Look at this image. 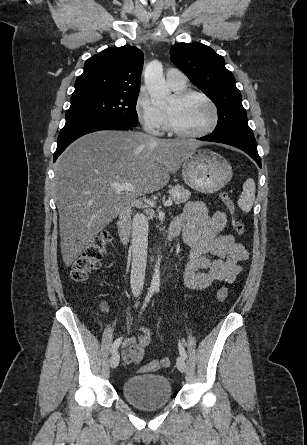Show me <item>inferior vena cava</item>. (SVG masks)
Segmentation results:
<instances>
[{
    "instance_id": "1",
    "label": "inferior vena cava",
    "mask_w": 307,
    "mask_h": 445,
    "mask_svg": "<svg viewBox=\"0 0 307 445\" xmlns=\"http://www.w3.org/2000/svg\"><path fill=\"white\" fill-rule=\"evenodd\" d=\"M132 267L131 289L133 295H141L144 287L147 247L148 223L143 214H135L132 225Z\"/></svg>"
}]
</instances>
